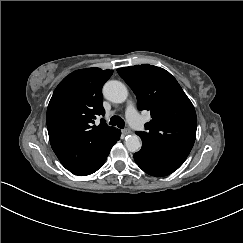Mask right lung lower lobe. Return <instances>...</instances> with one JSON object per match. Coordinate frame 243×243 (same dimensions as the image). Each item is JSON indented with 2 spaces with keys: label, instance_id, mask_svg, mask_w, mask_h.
I'll return each instance as SVG.
<instances>
[{
  "label": "right lung lower lobe",
  "instance_id": "98d812e1",
  "mask_svg": "<svg viewBox=\"0 0 243 243\" xmlns=\"http://www.w3.org/2000/svg\"><path fill=\"white\" fill-rule=\"evenodd\" d=\"M120 135L121 134L116 136L109 144V146L103 152H101L91 163H89L83 168L71 171V173L79 176H86L96 172L106 161L112 146L120 139Z\"/></svg>",
  "mask_w": 243,
  "mask_h": 243
}]
</instances>
